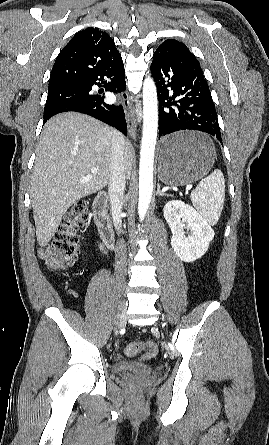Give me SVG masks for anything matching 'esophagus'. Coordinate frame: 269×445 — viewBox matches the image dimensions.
I'll use <instances>...</instances> for the list:
<instances>
[{
	"label": "esophagus",
	"instance_id": "1",
	"mask_svg": "<svg viewBox=\"0 0 269 445\" xmlns=\"http://www.w3.org/2000/svg\"><path fill=\"white\" fill-rule=\"evenodd\" d=\"M121 98H122V106L125 111L128 133L133 139H135L136 138V110L132 106V103L129 99L128 92H126V91L122 92Z\"/></svg>",
	"mask_w": 269,
	"mask_h": 445
}]
</instances>
